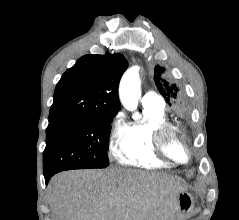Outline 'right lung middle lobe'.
<instances>
[{
    "mask_svg": "<svg viewBox=\"0 0 239 220\" xmlns=\"http://www.w3.org/2000/svg\"><path fill=\"white\" fill-rule=\"evenodd\" d=\"M111 115H64L49 117L44 176L68 169L109 166Z\"/></svg>",
    "mask_w": 239,
    "mask_h": 220,
    "instance_id": "right-lung-middle-lobe-1",
    "label": "right lung middle lobe"
}]
</instances>
